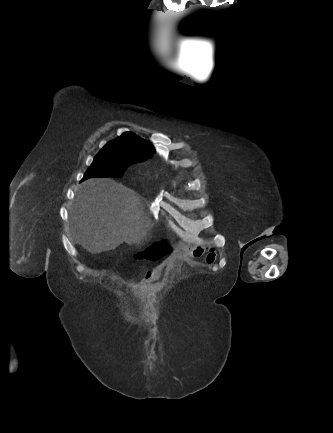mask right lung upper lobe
<instances>
[{
    "mask_svg": "<svg viewBox=\"0 0 333 433\" xmlns=\"http://www.w3.org/2000/svg\"><path fill=\"white\" fill-rule=\"evenodd\" d=\"M102 151L116 155L134 156L138 161H144L155 153L150 142L130 132H125L120 137L108 142Z\"/></svg>",
    "mask_w": 333,
    "mask_h": 433,
    "instance_id": "obj_1",
    "label": "right lung upper lobe"
}]
</instances>
